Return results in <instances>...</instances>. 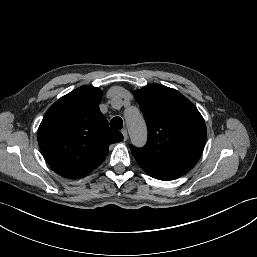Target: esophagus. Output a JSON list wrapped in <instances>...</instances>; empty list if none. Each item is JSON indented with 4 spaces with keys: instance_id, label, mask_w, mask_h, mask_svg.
<instances>
[{
    "instance_id": "esophagus-1",
    "label": "esophagus",
    "mask_w": 257,
    "mask_h": 257,
    "mask_svg": "<svg viewBox=\"0 0 257 257\" xmlns=\"http://www.w3.org/2000/svg\"><path fill=\"white\" fill-rule=\"evenodd\" d=\"M122 134H123V139L124 141H126L128 139V132H127V129H122L121 130Z\"/></svg>"
}]
</instances>
